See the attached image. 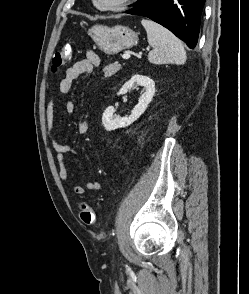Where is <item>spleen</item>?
<instances>
[{
    "instance_id": "obj_1",
    "label": "spleen",
    "mask_w": 249,
    "mask_h": 294,
    "mask_svg": "<svg viewBox=\"0 0 249 294\" xmlns=\"http://www.w3.org/2000/svg\"><path fill=\"white\" fill-rule=\"evenodd\" d=\"M141 23L146 29L148 43L153 48L148 54L150 63H173L178 65L185 63V49L173 33L149 19H142Z\"/></svg>"
}]
</instances>
